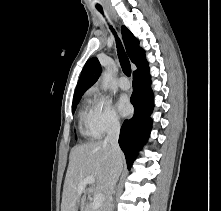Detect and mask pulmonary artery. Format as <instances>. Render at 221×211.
I'll return each instance as SVG.
<instances>
[{"instance_id": "1", "label": "pulmonary artery", "mask_w": 221, "mask_h": 211, "mask_svg": "<svg viewBox=\"0 0 221 211\" xmlns=\"http://www.w3.org/2000/svg\"><path fill=\"white\" fill-rule=\"evenodd\" d=\"M118 86L122 90H128L130 88V83L126 77L122 76L118 80Z\"/></svg>"}]
</instances>
